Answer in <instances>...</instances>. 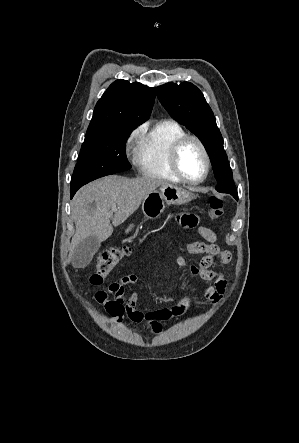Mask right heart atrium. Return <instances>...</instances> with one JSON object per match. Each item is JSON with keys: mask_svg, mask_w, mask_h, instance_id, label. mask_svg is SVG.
<instances>
[{"mask_svg": "<svg viewBox=\"0 0 299 443\" xmlns=\"http://www.w3.org/2000/svg\"><path fill=\"white\" fill-rule=\"evenodd\" d=\"M144 131V127L140 126L132 130V132L127 137L126 143H125V149L128 153L132 154L134 158L137 159V152H138V141L140 139V136L142 135Z\"/></svg>", "mask_w": 299, "mask_h": 443, "instance_id": "right-heart-atrium-1", "label": "right heart atrium"}]
</instances>
